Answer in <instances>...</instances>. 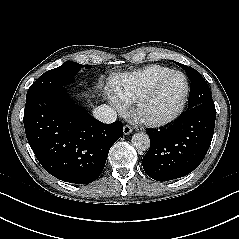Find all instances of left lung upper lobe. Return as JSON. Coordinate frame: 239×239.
I'll return each mask as SVG.
<instances>
[{
  "label": "left lung upper lobe",
  "instance_id": "left-lung-upper-lobe-1",
  "mask_svg": "<svg viewBox=\"0 0 239 239\" xmlns=\"http://www.w3.org/2000/svg\"><path fill=\"white\" fill-rule=\"evenodd\" d=\"M174 63L182 67L188 78L191 80L188 109L200 104L213 103L210 88L201 74L192 67H188L175 61Z\"/></svg>",
  "mask_w": 239,
  "mask_h": 239
}]
</instances>
